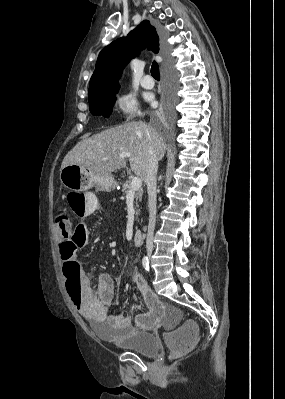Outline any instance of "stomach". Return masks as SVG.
<instances>
[{
	"instance_id": "0dacf381",
	"label": "stomach",
	"mask_w": 285,
	"mask_h": 399,
	"mask_svg": "<svg viewBox=\"0 0 285 399\" xmlns=\"http://www.w3.org/2000/svg\"><path fill=\"white\" fill-rule=\"evenodd\" d=\"M61 183L68 189L76 192H85L96 187L100 191H111L117 186L112 175L93 177L78 165H68L61 169Z\"/></svg>"
}]
</instances>
